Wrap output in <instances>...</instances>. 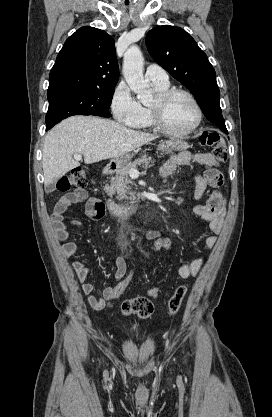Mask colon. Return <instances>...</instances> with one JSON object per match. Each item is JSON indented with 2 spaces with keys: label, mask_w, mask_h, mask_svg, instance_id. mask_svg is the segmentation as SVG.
Wrapping results in <instances>:
<instances>
[{
  "label": "colon",
  "mask_w": 272,
  "mask_h": 417,
  "mask_svg": "<svg viewBox=\"0 0 272 417\" xmlns=\"http://www.w3.org/2000/svg\"><path fill=\"white\" fill-rule=\"evenodd\" d=\"M199 141L202 145L211 147L212 155L218 162H223L227 158V148L224 139L214 131H205L199 137ZM87 184L86 171L83 168H75L71 170L67 175L61 178L57 184V188L60 191H67L73 187L83 188ZM149 249L152 252H165L172 248V240L169 237L158 236L150 240ZM134 273V265L127 269L124 278L115 286L113 291V298L119 297L129 285ZM159 287H151L148 290V297H136L131 300H127L122 304L121 310L124 315L135 314L142 319L150 317L154 311L152 299L157 298L159 294ZM187 287L180 285L177 287L173 295L168 302V314L175 315L186 296Z\"/></svg>",
  "instance_id": "colon-1"
}]
</instances>
